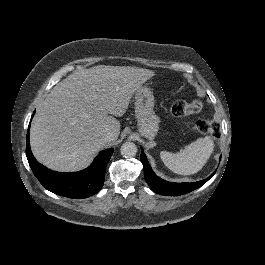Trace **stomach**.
<instances>
[{"label":"stomach","instance_id":"0dacf381","mask_svg":"<svg viewBox=\"0 0 265 265\" xmlns=\"http://www.w3.org/2000/svg\"><path fill=\"white\" fill-rule=\"evenodd\" d=\"M154 95L148 85L135 90V112L139 122V131L144 137L153 139L159 130V118L153 112Z\"/></svg>","mask_w":265,"mask_h":265}]
</instances>
